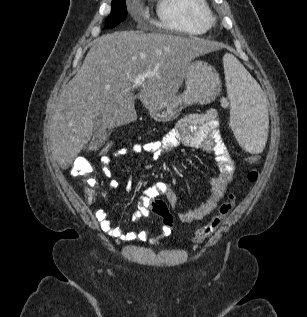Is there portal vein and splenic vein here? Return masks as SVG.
I'll return each instance as SVG.
<instances>
[{"label":"portal vein and splenic vein","mask_w":307,"mask_h":317,"mask_svg":"<svg viewBox=\"0 0 307 317\" xmlns=\"http://www.w3.org/2000/svg\"><path fill=\"white\" fill-rule=\"evenodd\" d=\"M152 75L154 74L151 72L138 74L137 77L134 79L133 87L142 86L144 84L145 79Z\"/></svg>","instance_id":"18ae733b"}]
</instances>
